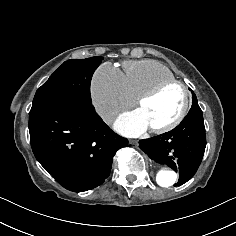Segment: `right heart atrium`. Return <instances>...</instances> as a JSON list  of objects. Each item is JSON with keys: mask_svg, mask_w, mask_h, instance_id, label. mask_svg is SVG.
<instances>
[{"mask_svg": "<svg viewBox=\"0 0 236 236\" xmlns=\"http://www.w3.org/2000/svg\"><path fill=\"white\" fill-rule=\"evenodd\" d=\"M90 94L95 113L106 124L131 105L124 75L110 63H104L95 70Z\"/></svg>", "mask_w": 236, "mask_h": 236, "instance_id": "obj_1", "label": "right heart atrium"}]
</instances>
